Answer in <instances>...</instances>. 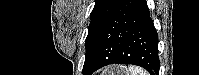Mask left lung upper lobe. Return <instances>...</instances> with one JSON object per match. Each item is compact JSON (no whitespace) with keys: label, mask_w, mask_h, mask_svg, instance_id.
<instances>
[{"label":"left lung upper lobe","mask_w":199,"mask_h":75,"mask_svg":"<svg viewBox=\"0 0 199 75\" xmlns=\"http://www.w3.org/2000/svg\"><path fill=\"white\" fill-rule=\"evenodd\" d=\"M121 1L122 0H95V6L91 12L88 35L85 41L86 54L83 70L90 61L109 18Z\"/></svg>","instance_id":"5c2ea615"}]
</instances>
